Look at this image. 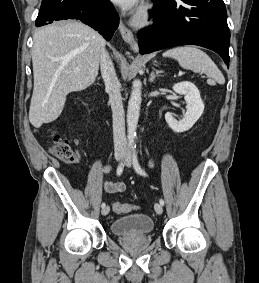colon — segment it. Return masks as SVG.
<instances>
[{
	"instance_id": "5ec220e1",
	"label": "colon",
	"mask_w": 259,
	"mask_h": 283,
	"mask_svg": "<svg viewBox=\"0 0 259 283\" xmlns=\"http://www.w3.org/2000/svg\"><path fill=\"white\" fill-rule=\"evenodd\" d=\"M51 152L66 163H74L77 161V154L75 153L69 140L63 138L58 133H53L52 135ZM112 208L115 213L124 214L138 209V206L116 202L112 204Z\"/></svg>"
}]
</instances>
